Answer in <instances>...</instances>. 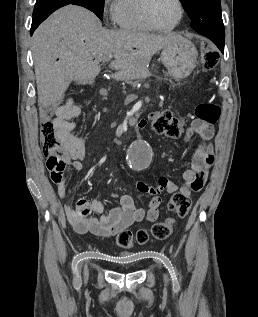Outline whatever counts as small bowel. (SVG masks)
<instances>
[{
	"instance_id": "1",
	"label": "small bowel",
	"mask_w": 258,
	"mask_h": 317,
	"mask_svg": "<svg viewBox=\"0 0 258 317\" xmlns=\"http://www.w3.org/2000/svg\"><path fill=\"white\" fill-rule=\"evenodd\" d=\"M81 112V105L67 101L56 109L57 125L63 140L66 156L53 155L47 160V168L52 182L57 187L60 198L70 197L71 205L65 206V214L74 230L79 234L91 233L96 236L110 237L119 234L134 223L154 222L159 217L161 204L160 193H182L190 195L199 191L205 184L209 169L214 162V150L210 142L213 136L212 124L200 119L192 121L184 134V141L198 136L201 141L197 145L191 160V167L182 173L183 183L179 186L166 176H161L156 185L139 182L137 191L148 194L151 199L146 209L137 208L133 198L128 194L119 196V204L106 211L103 203L97 200L74 198L68 187L66 166L70 165L75 171L82 167L85 155V140L73 132L71 121ZM146 120L139 122V128L147 125Z\"/></svg>"
}]
</instances>
